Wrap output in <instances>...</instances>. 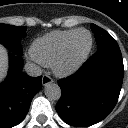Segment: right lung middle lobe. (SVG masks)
<instances>
[{
	"label": "right lung middle lobe",
	"instance_id": "obj_1",
	"mask_svg": "<svg viewBox=\"0 0 128 128\" xmlns=\"http://www.w3.org/2000/svg\"><path fill=\"white\" fill-rule=\"evenodd\" d=\"M26 26L0 24V43L6 45L16 54H22L20 41L25 37Z\"/></svg>",
	"mask_w": 128,
	"mask_h": 128
}]
</instances>
